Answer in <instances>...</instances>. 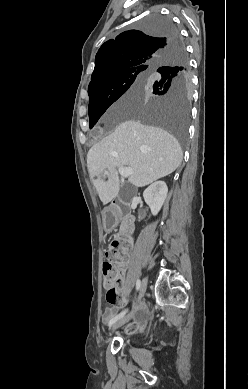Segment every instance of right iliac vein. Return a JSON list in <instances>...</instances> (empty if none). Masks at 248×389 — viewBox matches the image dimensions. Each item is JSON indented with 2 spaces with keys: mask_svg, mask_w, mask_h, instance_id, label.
<instances>
[{
  "mask_svg": "<svg viewBox=\"0 0 248 389\" xmlns=\"http://www.w3.org/2000/svg\"><path fill=\"white\" fill-rule=\"evenodd\" d=\"M146 286H147V280L143 279L141 285H140V295L139 299H141L146 291ZM135 309L130 311L128 314L123 316L122 318L118 319L112 326V331L116 330L117 328L121 327L125 323H127L134 315Z\"/></svg>",
  "mask_w": 248,
  "mask_h": 389,
  "instance_id": "obj_1",
  "label": "right iliac vein"
}]
</instances>
